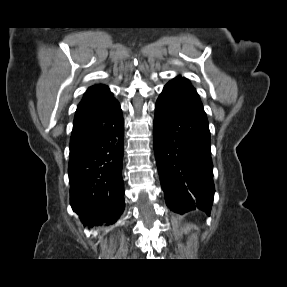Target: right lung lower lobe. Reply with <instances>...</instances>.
Listing matches in <instances>:
<instances>
[{"instance_id": "98d812e1", "label": "right lung lower lobe", "mask_w": 287, "mask_h": 287, "mask_svg": "<svg viewBox=\"0 0 287 287\" xmlns=\"http://www.w3.org/2000/svg\"><path fill=\"white\" fill-rule=\"evenodd\" d=\"M123 138L124 120L117 100L74 118L70 204L84 225L114 223L124 210Z\"/></svg>"}]
</instances>
